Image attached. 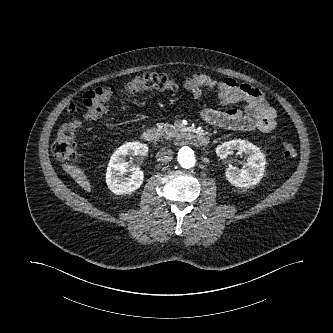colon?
Instances as JSON below:
<instances>
[{
  "mask_svg": "<svg viewBox=\"0 0 333 333\" xmlns=\"http://www.w3.org/2000/svg\"><path fill=\"white\" fill-rule=\"evenodd\" d=\"M177 84L174 80L163 74L146 73L129 80L126 90L137 93L145 90H175ZM112 87H98L84 94L83 102L86 108L83 121L75 120L62 124L54 135L51 146L52 154L58 160L68 163L78 158L75 141V130L83 122H93L100 119L106 112V103L114 96ZM282 154L286 158H295L297 150L291 143L285 142Z\"/></svg>",
  "mask_w": 333,
  "mask_h": 333,
  "instance_id": "colon-1",
  "label": "colon"
}]
</instances>
